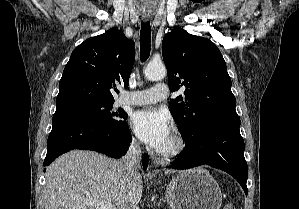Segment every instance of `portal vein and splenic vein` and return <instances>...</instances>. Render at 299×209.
Masks as SVG:
<instances>
[{"label": "portal vein and splenic vein", "instance_id": "portal-vein-and-splenic-vein-1", "mask_svg": "<svg viewBox=\"0 0 299 209\" xmlns=\"http://www.w3.org/2000/svg\"><path fill=\"white\" fill-rule=\"evenodd\" d=\"M89 205L95 207L96 209H115V206L113 204L97 200L90 201Z\"/></svg>", "mask_w": 299, "mask_h": 209}]
</instances>
